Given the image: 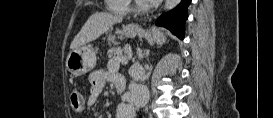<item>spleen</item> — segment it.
<instances>
[{
    "mask_svg": "<svg viewBox=\"0 0 273 118\" xmlns=\"http://www.w3.org/2000/svg\"><path fill=\"white\" fill-rule=\"evenodd\" d=\"M154 39L157 42V44L162 45L166 42V37L164 36V34L162 32H160L159 30H157L154 33Z\"/></svg>",
    "mask_w": 273,
    "mask_h": 118,
    "instance_id": "1",
    "label": "spleen"
}]
</instances>
